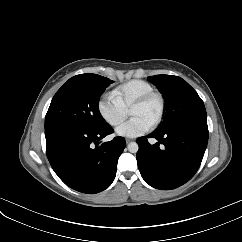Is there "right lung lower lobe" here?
Segmentation results:
<instances>
[{
    "label": "right lung lower lobe",
    "mask_w": 242,
    "mask_h": 242,
    "mask_svg": "<svg viewBox=\"0 0 242 242\" xmlns=\"http://www.w3.org/2000/svg\"><path fill=\"white\" fill-rule=\"evenodd\" d=\"M111 133L110 125L103 129L77 124L46 128V153L58 177L82 193L94 194L109 187L116 175L118 158L126 146L123 137L99 145L100 140Z\"/></svg>",
    "instance_id": "right-lung-lower-lobe-1"
}]
</instances>
